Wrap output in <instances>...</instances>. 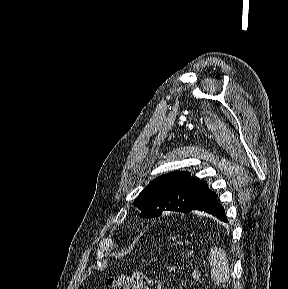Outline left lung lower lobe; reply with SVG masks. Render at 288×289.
<instances>
[{
	"mask_svg": "<svg viewBox=\"0 0 288 289\" xmlns=\"http://www.w3.org/2000/svg\"><path fill=\"white\" fill-rule=\"evenodd\" d=\"M192 210L204 211L223 222H228L223 206L219 204L216 193L211 190L198 201Z\"/></svg>",
	"mask_w": 288,
	"mask_h": 289,
	"instance_id": "0a47b994",
	"label": "left lung lower lobe"
}]
</instances>
